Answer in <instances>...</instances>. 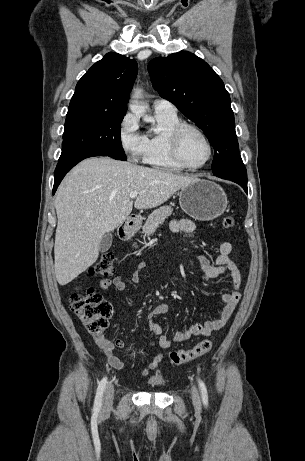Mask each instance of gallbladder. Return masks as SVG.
I'll use <instances>...</instances> for the list:
<instances>
[{"instance_id": "obj_1", "label": "gallbladder", "mask_w": 305, "mask_h": 461, "mask_svg": "<svg viewBox=\"0 0 305 461\" xmlns=\"http://www.w3.org/2000/svg\"><path fill=\"white\" fill-rule=\"evenodd\" d=\"M113 241V235L111 232L105 234L103 238L101 239L100 245H99V250L100 252H106L109 250V248L112 245Z\"/></svg>"}]
</instances>
